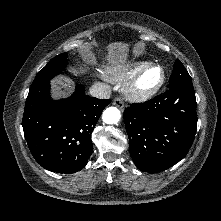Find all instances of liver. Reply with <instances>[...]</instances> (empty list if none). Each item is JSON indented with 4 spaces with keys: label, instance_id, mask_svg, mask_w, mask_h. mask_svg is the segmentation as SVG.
Wrapping results in <instances>:
<instances>
[{
    "label": "liver",
    "instance_id": "liver-1",
    "mask_svg": "<svg viewBox=\"0 0 221 221\" xmlns=\"http://www.w3.org/2000/svg\"><path fill=\"white\" fill-rule=\"evenodd\" d=\"M106 60L112 66H123L127 60L129 45L122 42L110 43L106 47ZM54 95L56 97H66L71 92L69 80L66 78H57L53 82Z\"/></svg>",
    "mask_w": 221,
    "mask_h": 221
}]
</instances>
